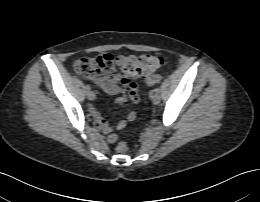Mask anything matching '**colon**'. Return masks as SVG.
<instances>
[{"instance_id":"obj_1","label":"colon","mask_w":260,"mask_h":202,"mask_svg":"<svg viewBox=\"0 0 260 202\" xmlns=\"http://www.w3.org/2000/svg\"><path fill=\"white\" fill-rule=\"evenodd\" d=\"M163 64V58L154 54L131 55L110 53L100 54L95 57H83L74 61V71L93 81L105 84L117 79L124 85H130L135 78L143 77L148 85H155L162 81V76L155 71ZM121 71V75L118 74ZM119 153L128 150L124 142L117 145Z\"/></svg>"}]
</instances>
